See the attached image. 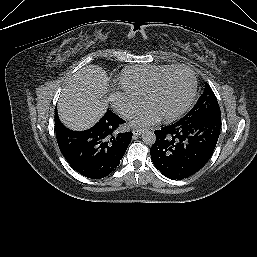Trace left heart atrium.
Returning <instances> with one entry per match:
<instances>
[{
	"mask_svg": "<svg viewBox=\"0 0 257 257\" xmlns=\"http://www.w3.org/2000/svg\"><path fill=\"white\" fill-rule=\"evenodd\" d=\"M160 115L151 107H147L139 112L132 124L136 127H148L159 121Z\"/></svg>",
	"mask_w": 257,
	"mask_h": 257,
	"instance_id": "39dd6f15",
	"label": "left heart atrium"
}]
</instances>
